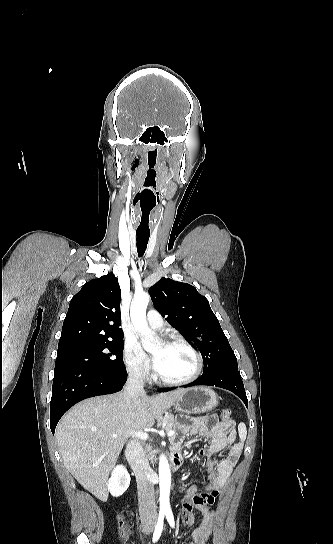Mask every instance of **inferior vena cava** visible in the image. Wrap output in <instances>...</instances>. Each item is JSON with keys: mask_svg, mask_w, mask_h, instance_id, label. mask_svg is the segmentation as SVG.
I'll use <instances>...</instances> for the list:
<instances>
[{"mask_svg": "<svg viewBox=\"0 0 333 544\" xmlns=\"http://www.w3.org/2000/svg\"><path fill=\"white\" fill-rule=\"evenodd\" d=\"M143 386L144 379L142 372L138 370L131 371L123 392L124 399L128 405H130L133 398L145 395ZM127 454L136 476L140 517L142 520H146L148 517H155L157 512L154 485L150 480L152 469L149 465L146 452L137 440L132 439L127 444Z\"/></svg>", "mask_w": 333, "mask_h": 544, "instance_id": "obj_1", "label": "inferior vena cava"}]
</instances>
